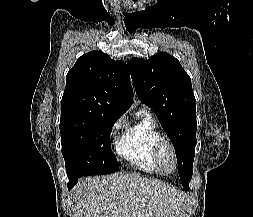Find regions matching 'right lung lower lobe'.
<instances>
[{"label":"right lung lower lobe","instance_id":"right-lung-lower-lobe-1","mask_svg":"<svg viewBox=\"0 0 253 217\" xmlns=\"http://www.w3.org/2000/svg\"><path fill=\"white\" fill-rule=\"evenodd\" d=\"M80 177H78V178H71L70 179V182L68 183V189H71L76 183H77V181H78V179H79Z\"/></svg>","mask_w":253,"mask_h":217}]
</instances>
